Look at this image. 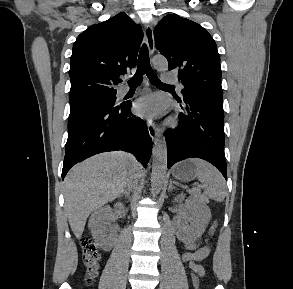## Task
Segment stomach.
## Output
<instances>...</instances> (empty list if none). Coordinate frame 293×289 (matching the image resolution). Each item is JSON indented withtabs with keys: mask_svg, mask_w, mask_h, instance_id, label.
<instances>
[{
	"mask_svg": "<svg viewBox=\"0 0 293 289\" xmlns=\"http://www.w3.org/2000/svg\"><path fill=\"white\" fill-rule=\"evenodd\" d=\"M172 174L177 180L188 182L197 176V169L192 159H189L176 164Z\"/></svg>",
	"mask_w": 293,
	"mask_h": 289,
	"instance_id": "stomach-1",
	"label": "stomach"
}]
</instances>
